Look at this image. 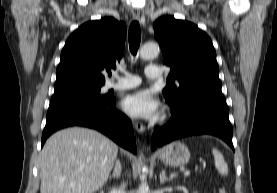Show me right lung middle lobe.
Listing matches in <instances>:
<instances>
[{
  "label": "right lung middle lobe",
  "mask_w": 277,
  "mask_h": 193,
  "mask_svg": "<svg viewBox=\"0 0 277 193\" xmlns=\"http://www.w3.org/2000/svg\"><path fill=\"white\" fill-rule=\"evenodd\" d=\"M100 89H101V86H99V87H93V88H87V89H82V90H77L75 92H83V93H90V94L100 95ZM105 96H108V95H105Z\"/></svg>",
  "instance_id": "1"
}]
</instances>
